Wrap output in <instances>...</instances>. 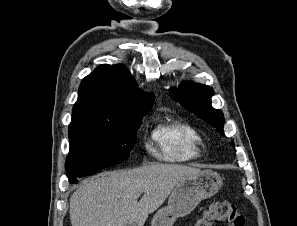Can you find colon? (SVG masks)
Here are the masks:
<instances>
[{
	"mask_svg": "<svg viewBox=\"0 0 297 226\" xmlns=\"http://www.w3.org/2000/svg\"><path fill=\"white\" fill-rule=\"evenodd\" d=\"M220 222L228 226L246 225L245 217L235 205L226 201H216L197 219L194 226H216Z\"/></svg>",
	"mask_w": 297,
	"mask_h": 226,
	"instance_id": "1",
	"label": "colon"
}]
</instances>
